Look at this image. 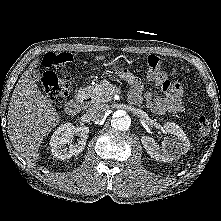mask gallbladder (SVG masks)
Masks as SVG:
<instances>
[{"label":"gallbladder","instance_id":"gallbladder-1","mask_svg":"<svg viewBox=\"0 0 221 221\" xmlns=\"http://www.w3.org/2000/svg\"><path fill=\"white\" fill-rule=\"evenodd\" d=\"M32 78L35 80V81H39L41 79V73L39 70H36L34 69L32 71Z\"/></svg>","mask_w":221,"mask_h":221}]
</instances>
